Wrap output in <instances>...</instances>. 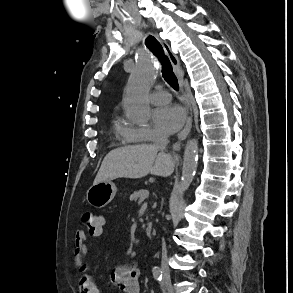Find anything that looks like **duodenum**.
Returning a JSON list of instances; mask_svg holds the SVG:
<instances>
[{
	"mask_svg": "<svg viewBox=\"0 0 293 293\" xmlns=\"http://www.w3.org/2000/svg\"><path fill=\"white\" fill-rule=\"evenodd\" d=\"M152 232H153V227H152L151 224H148L146 226V233H147V235L151 236L152 235Z\"/></svg>",
	"mask_w": 293,
	"mask_h": 293,
	"instance_id": "410a0bca",
	"label": "duodenum"
}]
</instances>
